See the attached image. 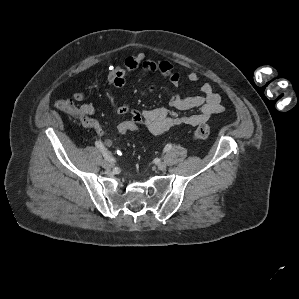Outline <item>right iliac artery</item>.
I'll return each instance as SVG.
<instances>
[{
    "label": "right iliac artery",
    "instance_id": "right-iliac-artery-1",
    "mask_svg": "<svg viewBox=\"0 0 299 299\" xmlns=\"http://www.w3.org/2000/svg\"><path fill=\"white\" fill-rule=\"evenodd\" d=\"M96 147L102 152L103 156L105 159H107L110 162L115 161L114 158L109 154L107 149L104 147L103 143L101 141H96L95 142Z\"/></svg>",
    "mask_w": 299,
    "mask_h": 299
}]
</instances>
